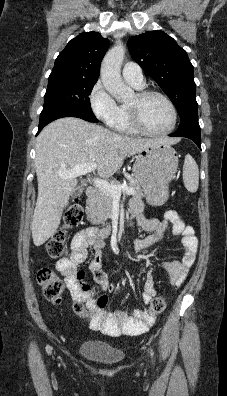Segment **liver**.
<instances>
[{
    "instance_id": "liver-1",
    "label": "liver",
    "mask_w": 227,
    "mask_h": 396,
    "mask_svg": "<svg viewBox=\"0 0 227 396\" xmlns=\"http://www.w3.org/2000/svg\"><path fill=\"white\" fill-rule=\"evenodd\" d=\"M173 139H140L121 136L75 117L60 118L46 126L36 140L35 170L38 197L31 223L35 246H41L59 227L63 208L77 185L76 178H61L79 164H97V172L109 178L126 157Z\"/></svg>"
}]
</instances>
